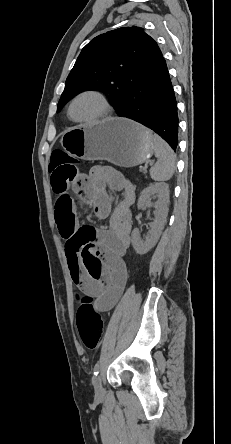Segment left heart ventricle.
I'll list each match as a JSON object with an SVG mask.
<instances>
[{
	"mask_svg": "<svg viewBox=\"0 0 231 444\" xmlns=\"http://www.w3.org/2000/svg\"><path fill=\"white\" fill-rule=\"evenodd\" d=\"M102 109V103L96 96L84 95L74 103L72 114L76 119H90L97 116Z\"/></svg>",
	"mask_w": 231,
	"mask_h": 444,
	"instance_id": "left-heart-ventricle-1",
	"label": "left heart ventricle"
}]
</instances>
